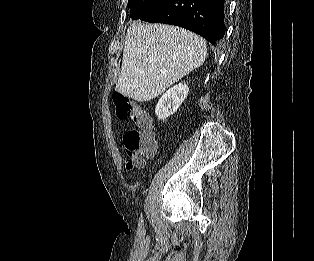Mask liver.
<instances>
[{
  "label": "liver",
  "instance_id": "liver-1",
  "mask_svg": "<svg viewBox=\"0 0 314 261\" xmlns=\"http://www.w3.org/2000/svg\"><path fill=\"white\" fill-rule=\"evenodd\" d=\"M206 56V41L186 29L133 21L115 89L135 101H150L200 67Z\"/></svg>",
  "mask_w": 314,
  "mask_h": 261
}]
</instances>
